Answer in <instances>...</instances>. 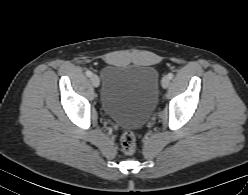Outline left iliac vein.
<instances>
[{
  "label": "left iliac vein",
  "mask_w": 248,
  "mask_h": 195,
  "mask_svg": "<svg viewBox=\"0 0 248 195\" xmlns=\"http://www.w3.org/2000/svg\"><path fill=\"white\" fill-rule=\"evenodd\" d=\"M169 84H170V79L168 78V76H164L161 81L162 87L167 88Z\"/></svg>",
  "instance_id": "left-iliac-vein-1"
}]
</instances>
